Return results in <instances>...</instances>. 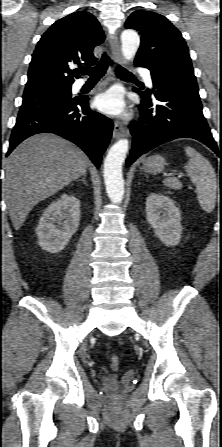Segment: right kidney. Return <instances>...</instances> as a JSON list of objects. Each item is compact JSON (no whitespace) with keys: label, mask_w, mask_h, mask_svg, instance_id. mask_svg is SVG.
Segmentation results:
<instances>
[{"label":"right kidney","mask_w":222,"mask_h":447,"mask_svg":"<svg viewBox=\"0 0 222 447\" xmlns=\"http://www.w3.org/2000/svg\"><path fill=\"white\" fill-rule=\"evenodd\" d=\"M79 218L80 201L75 196L63 194L52 202L44 210L36 228L40 247L50 253L63 250L78 230Z\"/></svg>","instance_id":"1"}]
</instances>
